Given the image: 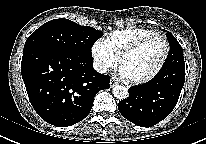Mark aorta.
Returning a JSON list of instances; mask_svg holds the SVG:
<instances>
[{
    "mask_svg": "<svg viewBox=\"0 0 206 144\" xmlns=\"http://www.w3.org/2000/svg\"><path fill=\"white\" fill-rule=\"evenodd\" d=\"M112 93L114 97L119 100H123L128 97V90L125 86H122V85H116L113 88Z\"/></svg>",
    "mask_w": 206,
    "mask_h": 144,
    "instance_id": "aorta-1",
    "label": "aorta"
}]
</instances>
